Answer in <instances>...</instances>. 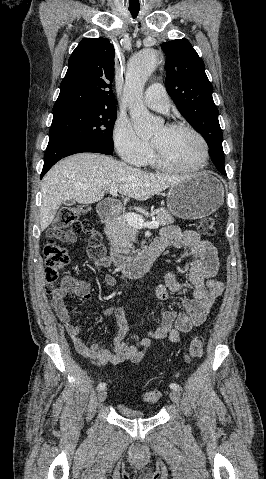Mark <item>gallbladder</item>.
Listing matches in <instances>:
<instances>
[{
    "label": "gallbladder",
    "mask_w": 266,
    "mask_h": 479,
    "mask_svg": "<svg viewBox=\"0 0 266 479\" xmlns=\"http://www.w3.org/2000/svg\"><path fill=\"white\" fill-rule=\"evenodd\" d=\"M74 203H75L74 200H66V201H64V204H65V205H73Z\"/></svg>",
    "instance_id": "bac80fb5"
}]
</instances>
